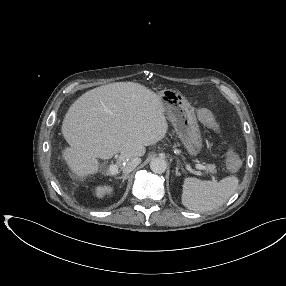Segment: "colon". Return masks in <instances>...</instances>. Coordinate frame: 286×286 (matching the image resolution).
Masks as SVG:
<instances>
[{"mask_svg": "<svg viewBox=\"0 0 286 286\" xmlns=\"http://www.w3.org/2000/svg\"><path fill=\"white\" fill-rule=\"evenodd\" d=\"M199 118L203 124L209 128H214L216 125L214 115L210 110L201 109L199 111ZM240 166L239 158L234 154L230 153L227 158V168L230 171H236Z\"/></svg>", "mask_w": 286, "mask_h": 286, "instance_id": "colon-1", "label": "colon"}]
</instances>
